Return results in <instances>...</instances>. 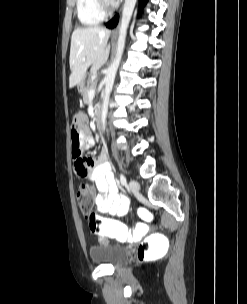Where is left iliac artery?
I'll return each instance as SVG.
<instances>
[{
  "label": "left iliac artery",
  "mask_w": 247,
  "mask_h": 304,
  "mask_svg": "<svg viewBox=\"0 0 247 304\" xmlns=\"http://www.w3.org/2000/svg\"><path fill=\"white\" fill-rule=\"evenodd\" d=\"M120 182L122 186H126V178L123 174H120Z\"/></svg>",
  "instance_id": "44dca946"
}]
</instances>
